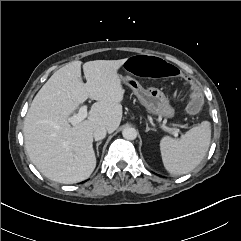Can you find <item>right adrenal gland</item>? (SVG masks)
<instances>
[{"mask_svg":"<svg viewBox=\"0 0 241 241\" xmlns=\"http://www.w3.org/2000/svg\"><path fill=\"white\" fill-rule=\"evenodd\" d=\"M101 143H102V142L100 141V142H97V144H96L97 156H99V146H100Z\"/></svg>","mask_w":241,"mask_h":241,"instance_id":"right-adrenal-gland-1","label":"right adrenal gland"}]
</instances>
